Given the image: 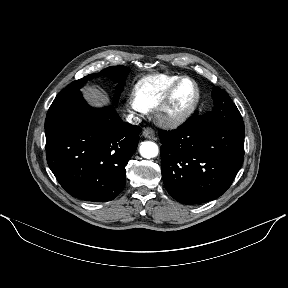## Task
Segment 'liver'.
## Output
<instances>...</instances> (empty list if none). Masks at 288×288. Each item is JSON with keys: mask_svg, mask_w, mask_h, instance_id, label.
<instances>
[{"mask_svg": "<svg viewBox=\"0 0 288 288\" xmlns=\"http://www.w3.org/2000/svg\"><path fill=\"white\" fill-rule=\"evenodd\" d=\"M87 100L98 107L104 106L108 103V98L106 95L98 91L97 89L87 88L85 90Z\"/></svg>", "mask_w": 288, "mask_h": 288, "instance_id": "liver-1", "label": "liver"}]
</instances>
